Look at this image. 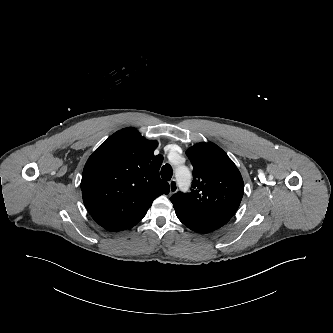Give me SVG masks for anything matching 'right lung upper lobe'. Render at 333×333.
Here are the masks:
<instances>
[{
  "label": "right lung upper lobe",
  "mask_w": 333,
  "mask_h": 333,
  "mask_svg": "<svg viewBox=\"0 0 333 333\" xmlns=\"http://www.w3.org/2000/svg\"><path fill=\"white\" fill-rule=\"evenodd\" d=\"M158 146L134 128L110 136L87 160L82 174L83 202L92 218L108 231L132 228L155 198L168 194L159 177Z\"/></svg>",
  "instance_id": "1"
}]
</instances>
